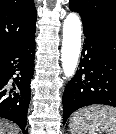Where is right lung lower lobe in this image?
I'll list each match as a JSON object with an SVG mask.
<instances>
[{
	"label": "right lung lower lobe",
	"instance_id": "obj_1",
	"mask_svg": "<svg viewBox=\"0 0 116 134\" xmlns=\"http://www.w3.org/2000/svg\"><path fill=\"white\" fill-rule=\"evenodd\" d=\"M34 55L35 34L0 55V118L13 121L24 134L28 133L25 127ZM14 74L17 77L12 79Z\"/></svg>",
	"mask_w": 116,
	"mask_h": 134
}]
</instances>
